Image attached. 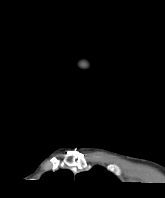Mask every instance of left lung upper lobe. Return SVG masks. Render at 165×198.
Returning a JSON list of instances; mask_svg holds the SVG:
<instances>
[{"instance_id":"left-lung-upper-lobe-1","label":"left lung upper lobe","mask_w":165,"mask_h":198,"mask_svg":"<svg viewBox=\"0 0 165 198\" xmlns=\"http://www.w3.org/2000/svg\"><path fill=\"white\" fill-rule=\"evenodd\" d=\"M76 179L91 184L119 182L111 173L100 166H96L88 172L77 174Z\"/></svg>"}]
</instances>
